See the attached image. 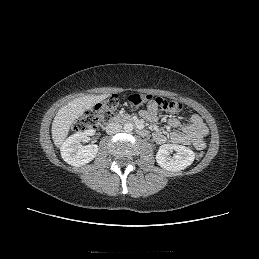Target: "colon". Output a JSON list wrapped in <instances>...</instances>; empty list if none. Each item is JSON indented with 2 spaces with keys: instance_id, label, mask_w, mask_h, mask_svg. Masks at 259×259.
I'll use <instances>...</instances> for the list:
<instances>
[{
  "instance_id": "1",
  "label": "colon",
  "mask_w": 259,
  "mask_h": 259,
  "mask_svg": "<svg viewBox=\"0 0 259 259\" xmlns=\"http://www.w3.org/2000/svg\"><path fill=\"white\" fill-rule=\"evenodd\" d=\"M128 102L133 106H139L144 103L152 105L157 110L170 111V112H181L183 105L174 100H167L162 97H152L146 94H131L128 96ZM119 106V98L117 95H112L105 101L99 103L93 111L86 112L77 122L76 129L85 130L89 128H96L103 122L114 116ZM204 153L199 151L196 153L197 159H202Z\"/></svg>"
}]
</instances>
